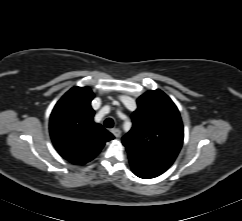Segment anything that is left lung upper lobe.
Listing matches in <instances>:
<instances>
[{
  "label": "left lung upper lobe",
  "mask_w": 242,
  "mask_h": 221,
  "mask_svg": "<svg viewBox=\"0 0 242 221\" xmlns=\"http://www.w3.org/2000/svg\"><path fill=\"white\" fill-rule=\"evenodd\" d=\"M132 129L122 138L129 155L171 166L183 144V124L176 105L161 90L137 99Z\"/></svg>",
  "instance_id": "1"
}]
</instances>
